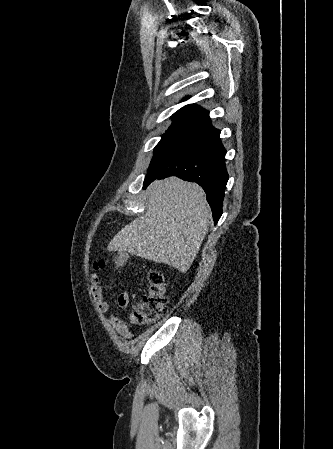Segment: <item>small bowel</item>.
Listing matches in <instances>:
<instances>
[{
  "instance_id": "c3829d8e",
  "label": "small bowel",
  "mask_w": 333,
  "mask_h": 449,
  "mask_svg": "<svg viewBox=\"0 0 333 449\" xmlns=\"http://www.w3.org/2000/svg\"><path fill=\"white\" fill-rule=\"evenodd\" d=\"M90 284L97 308L100 312L106 313L110 309V303L104 297V288L98 270H95L92 274ZM129 301L130 296L128 292H121L117 299L118 307L121 309L126 308L129 304ZM109 320L121 337L125 339H129L132 337V334L129 331L126 323L122 319L116 316H110Z\"/></svg>"
}]
</instances>
